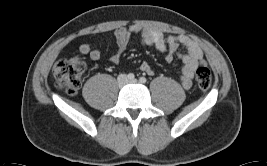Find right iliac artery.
<instances>
[{
	"label": "right iliac artery",
	"instance_id": "1",
	"mask_svg": "<svg viewBox=\"0 0 267 166\" xmlns=\"http://www.w3.org/2000/svg\"><path fill=\"white\" fill-rule=\"evenodd\" d=\"M127 77H128L129 80H133V79L135 78V76H134L133 73H129V74L127 75Z\"/></svg>",
	"mask_w": 267,
	"mask_h": 166
}]
</instances>
